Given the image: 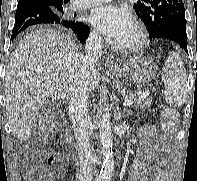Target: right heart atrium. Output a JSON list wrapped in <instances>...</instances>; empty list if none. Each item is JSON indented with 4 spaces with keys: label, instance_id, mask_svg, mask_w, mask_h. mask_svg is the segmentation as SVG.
<instances>
[{
    "label": "right heart atrium",
    "instance_id": "right-heart-atrium-1",
    "mask_svg": "<svg viewBox=\"0 0 197 181\" xmlns=\"http://www.w3.org/2000/svg\"><path fill=\"white\" fill-rule=\"evenodd\" d=\"M92 38L94 41L99 42L100 41V37L96 32L92 33Z\"/></svg>",
    "mask_w": 197,
    "mask_h": 181
}]
</instances>
